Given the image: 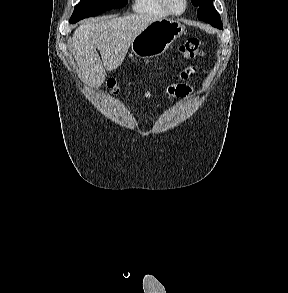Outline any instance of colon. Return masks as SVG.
Wrapping results in <instances>:
<instances>
[{
	"mask_svg": "<svg viewBox=\"0 0 288 293\" xmlns=\"http://www.w3.org/2000/svg\"><path fill=\"white\" fill-rule=\"evenodd\" d=\"M204 42L197 38H190L179 47V52L188 59L196 58L203 54ZM107 88L113 93L120 92L119 86L113 78H108L106 81Z\"/></svg>",
	"mask_w": 288,
	"mask_h": 293,
	"instance_id": "colon-1",
	"label": "colon"
}]
</instances>
